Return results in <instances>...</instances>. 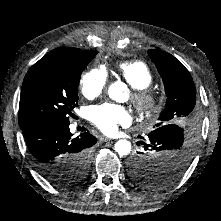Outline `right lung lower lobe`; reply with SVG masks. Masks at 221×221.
Returning <instances> with one entry per match:
<instances>
[{
    "label": "right lung lower lobe",
    "instance_id": "right-lung-lower-lobe-1",
    "mask_svg": "<svg viewBox=\"0 0 221 221\" xmlns=\"http://www.w3.org/2000/svg\"><path fill=\"white\" fill-rule=\"evenodd\" d=\"M69 124V121L43 118L21 128L36 168L44 177L49 167L60 166L66 158L89 151L97 142L89 132L72 139Z\"/></svg>",
    "mask_w": 221,
    "mask_h": 221
}]
</instances>
